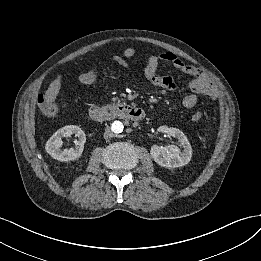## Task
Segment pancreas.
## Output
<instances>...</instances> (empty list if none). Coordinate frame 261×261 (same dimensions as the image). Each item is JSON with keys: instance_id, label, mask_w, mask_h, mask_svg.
<instances>
[{"instance_id": "1", "label": "pancreas", "mask_w": 261, "mask_h": 261, "mask_svg": "<svg viewBox=\"0 0 261 261\" xmlns=\"http://www.w3.org/2000/svg\"><path fill=\"white\" fill-rule=\"evenodd\" d=\"M112 101H113L114 103H119V102H120V99H119V98H112Z\"/></svg>"}]
</instances>
